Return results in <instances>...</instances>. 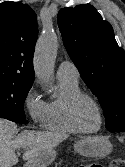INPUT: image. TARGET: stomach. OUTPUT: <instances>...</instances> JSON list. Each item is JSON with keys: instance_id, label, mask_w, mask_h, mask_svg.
Wrapping results in <instances>:
<instances>
[{"instance_id": "1", "label": "stomach", "mask_w": 125, "mask_h": 167, "mask_svg": "<svg viewBox=\"0 0 125 167\" xmlns=\"http://www.w3.org/2000/svg\"><path fill=\"white\" fill-rule=\"evenodd\" d=\"M112 144L101 136L85 137L74 144L76 153L85 157H103L111 153ZM56 158L54 149L45 150L26 163V167H48Z\"/></svg>"}]
</instances>
